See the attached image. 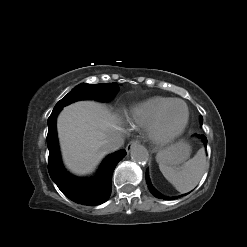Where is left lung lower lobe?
Segmentation results:
<instances>
[{
	"label": "left lung lower lobe",
	"mask_w": 247,
	"mask_h": 247,
	"mask_svg": "<svg viewBox=\"0 0 247 247\" xmlns=\"http://www.w3.org/2000/svg\"><path fill=\"white\" fill-rule=\"evenodd\" d=\"M203 142H204V145L205 147L207 146V138L202 135L201 136ZM146 182H147V185H148V189L149 191L153 194V196H155L156 198H159V199H166V200H169V199H176V198H179L181 196H184V195H181V196H177V197H167V196H164L162 194H160L151 184V181H150V178H149V175H148V171L146 172ZM188 194V193H187Z\"/></svg>",
	"instance_id": "0a47b994"
}]
</instances>
